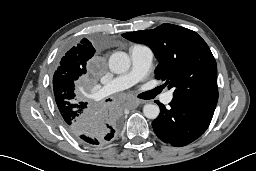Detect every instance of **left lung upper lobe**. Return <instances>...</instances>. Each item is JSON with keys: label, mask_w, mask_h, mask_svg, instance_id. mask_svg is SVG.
Here are the masks:
<instances>
[{"label": "left lung upper lobe", "mask_w": 256, "mask_h": 171, "mask_svg": "<svg viewBox=\"0 0 256 171\" xmlns=\"http://www.w3.org/2000/svg\"><path fill=\"white\" fill-rule=\"evenodd\" d=\"M122 36L149 46L158 59L157 79L173 89V97L215 109L218 101L217 66L208 45L194 31L173 24Z\"/></svg>", "instance_id": "left-lung-upper-lobe-1"}]
</instances>
